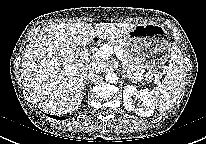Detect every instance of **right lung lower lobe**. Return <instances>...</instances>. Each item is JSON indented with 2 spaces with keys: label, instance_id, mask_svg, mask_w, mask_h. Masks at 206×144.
Segmentation results:
<instances>
[{
  "label": "right lung lower lobe",
  "instance_id": "98d812e1",
  "mask_svg": "<svg viewBox=\"0 0 206 144\" xmlns=\"http://www.w3.org/2000/svg\"><path fill=\"white\" fill-rule=\"evenodd\" d=\"M48 116H50L51 118H54V119H65V118H62V117H58V116H54V115H48Z\"/></svg>",
  "mask_w": 206,
  "mask_h": 144
}]
</instances>
